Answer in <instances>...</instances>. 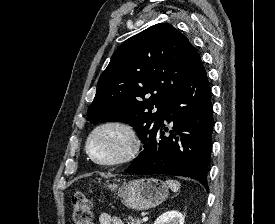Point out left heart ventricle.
<instances>
[{
	"label": "left heart ventricle",
	"instance_id": "obj_1",
	"mask_svg": "<svg viewBox=\"0 0 275 224\" xmlns=\"http://www.w3.org/2000/svg\"><path fill=\"white\" fill-rule=\"evenodd\" d=\"M129 143L125 133L116 128L99 131L91 140L90 150L101 161H112L123 156Z\"/></svg>",
	"mask_w": 275,
	"mask_h": 224
}]
</instances>
